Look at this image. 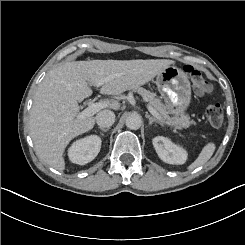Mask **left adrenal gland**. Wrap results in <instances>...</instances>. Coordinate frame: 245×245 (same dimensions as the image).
<instances>
[{
  "label": "left adrenal gland",
  "mask_w": 245,
  "mask_h": 245,
  "mask_svg": "<svg viewBox=\"0 0 245 245\" xmlns=\"http://www.w3.org/2000/svg\"><path fill=\"white\" fill-rule=\"evenodd\" d=\"M146 118L149 119V124L151 125L153 122L159 123L160 125H163L162 122H160L159 120H157L156 118L152 117L151 115L148 114V112H146L145 115Z\"/></svg>",
  "instance_id": "1"
}]
</instances>
